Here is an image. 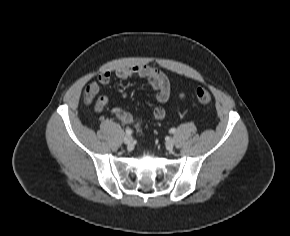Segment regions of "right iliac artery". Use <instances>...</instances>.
Returning a JSON list of instances; mask_svg holds the SVG:
<instances>
[{
	"instance_id": "1",
	"label": "right iliac artery",
	"mask_w": 290,
	"mask_h": 236,
	"mask_svg": "<svg viewBox=\"0 0 290 236\" xmlns=\"http://www.w3.org/2000/svg\"><path fill=\"white\" fill-rule=\"evenodd\" d=\"M126 134H127V135H131V134H132V130H130V129H126Z\"/></svg>"
}]
</instances>
